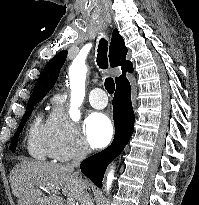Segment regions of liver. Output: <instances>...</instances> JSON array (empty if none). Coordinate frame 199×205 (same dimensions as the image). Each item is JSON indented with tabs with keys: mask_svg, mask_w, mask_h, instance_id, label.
<instances>
[{
	"mask_svg": "<svg viewBox=\"0 0 199 205\" xmlns=\"http://www.w3.org/2000/svg\"><path fill=\"white\" fill-rule=\"evenodd\" d=\"M12 193L18 205H64L57 196L62 190L68 199L81 202L88 183L65 165L24 160L10 173ZM41 190L49 192L46 196Z\"/></svg>",
	"mask_w": 199,
	"mask_h": 205,
	"instance_id": "obj_1",
	"label": "liver"
}]
</instances>
